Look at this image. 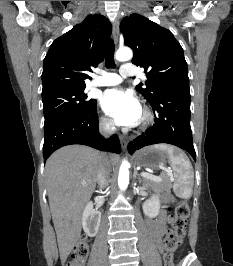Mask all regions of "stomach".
Instances as JSON below:
<instances>
[{
  "label": "stomach",
  "mask_w": 233,
  "mask_h": 266,
  "mask_svg": "<svg viewBox=\"0 0 233 266\" xmlns=\"http://www.w3.org/2000/svg\"><path fill=\"white\" fill-rule=\"evenodd\" d=\"M168 160V155L164 151L153 147L144 148L134 155L135 165L150 169L165 166Z\"/></svg>",
  "instance_id": "1"
}]
</instances>
